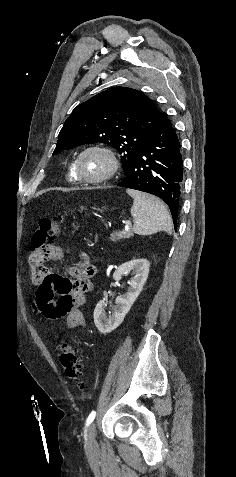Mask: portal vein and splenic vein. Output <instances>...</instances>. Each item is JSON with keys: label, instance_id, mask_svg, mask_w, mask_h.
Wrapping results in <instances>:
<instances>
[{"label": "portal vein and splenic vein", "instance_id": "obj_1", "mask_svg": "<svg viewBox=\"0 0 236 477\" xmlns=\"http://www.w3.org/2000/svg\"><path fill=\"white\" fill-rule=\"evenodd\" d=\"M125 230H128L129 229V226L131 225V222L130 221H125Z\"/></svg>", "mask_w": 236, "mask_h": 477}]
</instances>
